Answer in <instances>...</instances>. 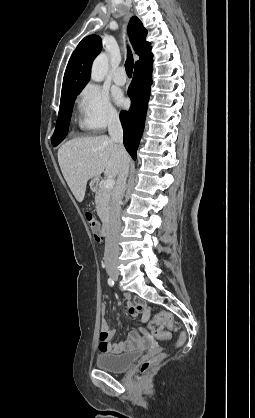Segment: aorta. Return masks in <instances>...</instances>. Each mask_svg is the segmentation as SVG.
Here are the masks:
<instances>
[{
    "label": "aorta",
    "mask_w": 255,
    "mask_h": 418,
    "mask_svg": "<svg viewBox=\"0 0 255 418\" xmlns=\"http://www.w3.org/2000/svg\"><path fill=\"white\" fill-rule=\"evenodd\" d=\"M108 71V57L105 53H101L94 60L91 68V79L95 82L104 80Z\"/></svg>",
    "instance_id": "obj_1"
}]
</instances>
